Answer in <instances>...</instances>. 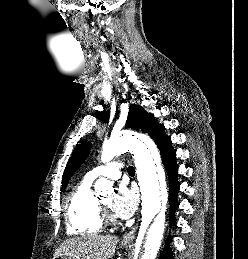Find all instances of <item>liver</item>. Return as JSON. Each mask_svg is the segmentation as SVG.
I'll use <instances>...</instances> for the list:
<instances>
[{
    "mask_svg": "<svg viewBox=\"0 0 248 259\" xmlns=\"http://www.w3.org/2000/svg\"><path fill=\"white\" fill-rule=\"evenodd\" d=\"M118 238L111 235L87 234L64 241L54 253L76 256L78 259H110L115 253Z\"/></svg>",
    "mask_w": 248,
    "mask_h": 259,
    "instance_id": "1",
    "label": "liver"
}]
</instances>
